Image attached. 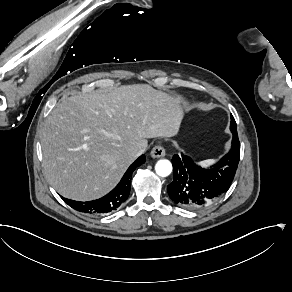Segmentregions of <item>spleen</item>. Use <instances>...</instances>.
<instances>
[{
  "label": "spleen",
  "instance_id": "1",
  "mask_svg": "<svg viewBox=\"0 0 292 292\" xmlns=\"http://www.w3.org/2000/svg\"><path fill=\"white\" fill-rule=\"evenodd\" d=\"M211 162V160H205V161H203V162H201V164H208V163H210Z\"/></svg>",
  "mask_w": 292,
  "mask_h": 292
}]
</instances>
